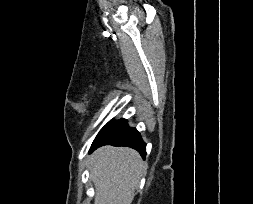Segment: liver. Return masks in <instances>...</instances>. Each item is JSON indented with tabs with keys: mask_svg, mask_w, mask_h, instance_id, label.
Returning <instances> with one entry per match:
<instances>
[{
	"mask_svg": "<svg viewBox=\"0 0 253 204\" xmlns=\"http://www.w3.org/2000/svg\"><path fill=\"white\" fill-rule=\"evenodd\" d=\"M88 167L96 191L94 204H131L145 164L134 149L104 146L91 155Z\"/></svg>",
	"mask_w": 253,
	"mask_h": 204,
	"instance_id": "6515ba94",
	"label": "liver"
}]
</instances>
